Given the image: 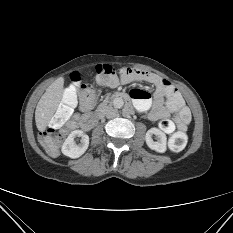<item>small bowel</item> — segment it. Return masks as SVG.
Instances as JSON below:
<instances>
[{
  "mask_svg": "<svg viewBox=\"0 0 233 233\" xmlns=\"http://www.w3.org/2000/svg\"><path fill=\"white\" fill-rule=\"evenodd\" d=\"M123 70L125 72L120 77L119 82L129 84L144 81L155 86L153 95L140 89L131 91V97L140 112L147 113V118L150 120H160L159 127L166 134L187 129L191 120L190 111L175 87L171 84L166 85V80L153 73L130 68ZM93 104L94 95L90 98L81 99L80 108L83 112H88Z\"/></svg>",
  "mask_w": 233,
  "mask_h": 233,
  "instance_id": "1",
  "label": "small bowel"
}]
</instances>
